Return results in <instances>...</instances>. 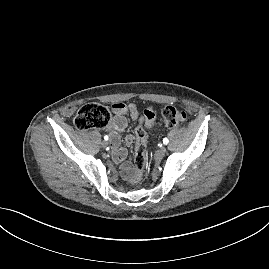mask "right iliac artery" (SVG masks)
<instances>
[{"label": "right iliac artery", "mask_w": 269, "mask_h": 269, "mask_svg": "<svg viewBox=\"0 0 269 269\" xmlns=\"http://www.w3.org/2000/svg\"><path fill=\"white\" fill-rule=\"evenodd\" d=\"M108 139H109V137H108L107 135H105V136H104V140L107 141Z\"/></svg>", "instance_id": "right-iliac-artery-1"}]
</instances>
